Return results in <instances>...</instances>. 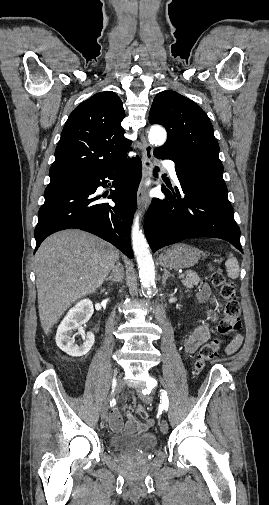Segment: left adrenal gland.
<instances>
[{"mask_svg":"<svg viewBox=\"0 0 269 505\" xmlns=\"http://www.w3.org/2000/svg\"><path fill=\"white\" fill-rule=\"evenodd\" d=\"M170 276L173 277L172 274H170L166 269H164V274L162 276V284H163V286L166 285V281H167L168 277H170Z\"/></svg>","mask_w":269,"mask_h":505,"instance_id":"left-adrenal-gland-1","label":"left adrenal gland"}]
</instances>
